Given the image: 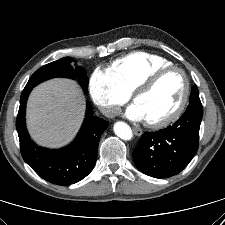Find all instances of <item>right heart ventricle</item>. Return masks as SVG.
Returning <instances> with one entry per match:
<instances>
[{
  "label": "right heart ventricle",
  "instance_id": "1",
  "mask_svg": "<svg viewBox=\"0 0 225 225\" xmlns=\"http://www.w3.org/2000/svg\"><path fill=\"white\" fill-rule=\"evenodd\" d=\"M170 65L172 63L161 56L135 51L116 59L109 72L120 88L131 94L151 73Z\"/></svg>",
  "mask_w": 225,
  "mask_h": 225
}]
</instances>
